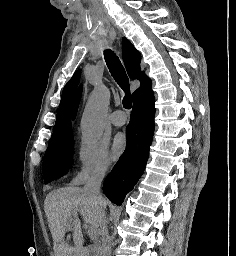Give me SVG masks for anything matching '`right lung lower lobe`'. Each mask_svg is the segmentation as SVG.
<instances>
[{
  "instance_id": "98d812e1",
  "label": "right lung lower lobe",
  "mask_w": 236,
  "mask_h": 256,
  "mask_svg": "<svg viewBox=\"0 0 236 256\" xmlns=\"http://www.w3.org/2000/svg\"><path fill=\"white\" fill-rule=\"evenodd\" d=\"M154 102L151 87L133 101L126 149L103 184L105 195L117 205L122 204L145 169L154 134Z\"/></svg>"
}]
</instances>
